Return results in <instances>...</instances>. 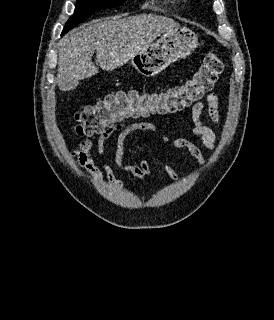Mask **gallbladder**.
Listing matches in <instances>:
<instances>
[{"label": "gallbladder", "mask_w": 274, "mask_h": 320, "mask_svg": "<svg viewBox=\"0 0 274 320\" xmlns=\"http://www.w3.org/2000/svg\"><path fill=\"white\" fill-rule=\"evenodd\" d=\"M67 83L69 85V89H74V85H77V78H68Z\"/></svg>", "instance_id": "1"}]
</instances>
